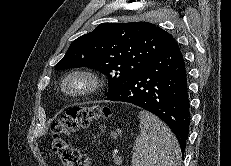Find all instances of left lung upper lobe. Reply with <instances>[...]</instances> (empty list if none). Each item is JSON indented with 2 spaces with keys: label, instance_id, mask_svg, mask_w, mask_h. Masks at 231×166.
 <instances>
[{
  "label": "left lung upper lobe",
  "instance_id": "left-lung-upper-lobe-1",
  "mask_svg": "<svg viewBox=\"0 0 231 166\" xmlns=\"http://www.w3.org/2000/svg\"><path fill=\"white\" fill-rule=\"evenodd\" d=\"M172 38L148 22L103 23L73 41L55 68L89 66L104 73L109 96L160 54Z\"/></svg>",
  "mask_w": 231,
  "mask_h": 166
}]
</instances>
